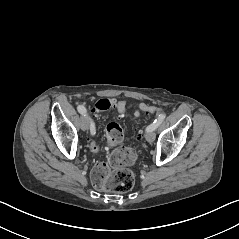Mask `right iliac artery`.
Here are the masks:
<instances>
[{"label":"right iliac artery","mask_w":239,"mask_h":239,"mask_svg":"<svg viewBox=\"0 0 239 239\" xmlns=\"http://www.w3.org/2000/svg\"><path fill=\"white\" fill-rule=\"evenodd\" d=\"M77 110H78V112H79L80 114L86 115V109H85L84 106L79 105V106L77 107ZM90 131H91V134H95L94 124H91Z\"/></svg>","instance_id":"right-iliac-artery-1"}]
</instances>
